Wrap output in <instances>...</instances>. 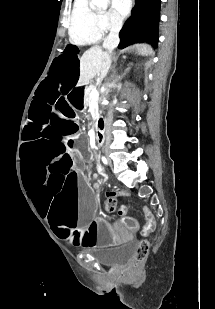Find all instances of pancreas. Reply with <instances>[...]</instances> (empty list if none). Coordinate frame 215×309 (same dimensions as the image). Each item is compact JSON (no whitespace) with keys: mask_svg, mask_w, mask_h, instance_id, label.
Wrapping results in <instances>:
<instances>
[{"mask_svg":"<svg viewBox=\"0 0 215 309\" xmlns=\"http://www.w3.org/2000/svg\"><path fill=\"white\" fill-rule=\"evenodd\" d=\"M93 88H96V84H93V80H90V84L89 86H85V92H84V100H85V104L86 106H88V104H90V100H92L91 96H90V92L91 90H93ZM95 108V112H97V116H99V106L98 104H95L94 106Z\"/></svg>","mask_w":215,"mask_h":309,"instance_id":"1","label":"pancreas"}]
</instances>
